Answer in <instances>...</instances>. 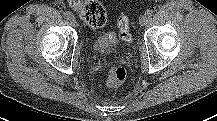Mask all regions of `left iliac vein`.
Wrapping results in <instances>:
<instances>
[{"label":"left iliac vein","mask_w":217,"mask_h":121,"mask_svg":"<svg viewBox=\"0 0 217 121\" xmlns=\"http://www.w3.org/2000/svg\"><path fill=\"white\" fill-rule=\"evenodd\" d=\"M148 15L145 13V14H142L140 17H139V24L141 26H145L147 23H148Z\"/></svg>","instance_id":"4c4485c4"}]
</instances>
